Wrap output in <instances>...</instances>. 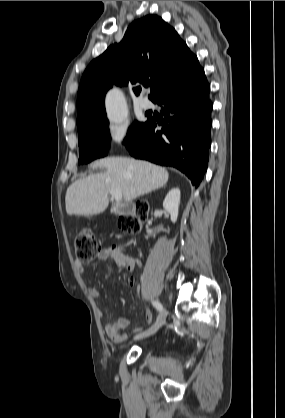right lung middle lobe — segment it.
I'll return each instance as SVG.
<instances>
[{"label": "right lung middle lobe", "mask_w": 285, "mask_h": 418, "mask_svg": "<svg viewBox=\"0 0 285 418\" xmlns=\"http://www.w3.org/2000/svg\"><path fill=\"white\" fill-rule=\"evenodd\" d=\"M148 121V120H147ZM134 122L129 128L124 144L130 141L146 124ZM79 136V160L78 164L104 157L108 153L107 141L110 140L109 121L106 113L77 125Z\"/></svg>", "instance_id": "dd1d6c3e"}]
</instances>
